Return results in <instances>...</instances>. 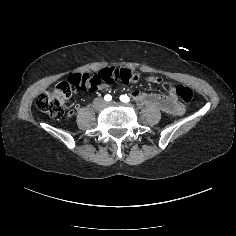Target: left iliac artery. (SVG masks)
Masks as SVG:
<instances>
[{
	"mask_svg": "<svg viewBox=\"0 0 236 236\" xmlns=\"http://www.w3.org/2000/svg\"><path fill=\"white\" fill-rule=\"evenodd\" d=\"M119 99H120V101H122L124 103H128L130 101L129 97L126 94L121 95Z\"/></svg>",
	"mask_w": 236,
	"mask_h": 236,
	"instance_id": "left-iliac-artery-1",
	"label": "left iliac artery"
}]
</instances>
